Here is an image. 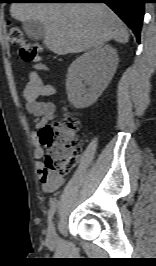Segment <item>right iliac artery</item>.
Listing matches in <instances>:
<instances>
[{
	"label": "right iliac artery",
	"mask_w": 156,
	"mask_h": 266,
	"mask_svg": "<svg viewBox=\"0 0 156 266\" xmlns=\"http://www.w3.org/2000/svg\"><path fill=\"white\" fill-rule=\"evenodd\" d=\"M55 211H56V202L53 201L51 203V207H50L49 212H48V222L49 223L51 222V219L53 218Z\"/></svg>",
	"instance_id": "obj_1"
}]
</instances>
